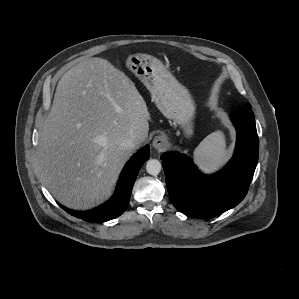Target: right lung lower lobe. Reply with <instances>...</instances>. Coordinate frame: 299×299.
I'll use <instances>...</instances> for the list:
<instances>
[{
  "instance_id": "98d812e1",
  "label": "right lung lower lobe",
  "mask_w": 299,
  "mask_h": 299,
  "mask_svg": "<svg viewBox=\"0 0 299 299\" xmlns=\"http://www.w3.org/2000/svg\"><path fill=\"white\" fill-rule=\"evenodd\" d=\"M149 157L150 149L147 145L127 162L120 175L114 195L103 205L85 212H76L60 206L71 215L88 222H104L118 217L126 209L137 174Z\"/></svg>"
}]
</instances>
